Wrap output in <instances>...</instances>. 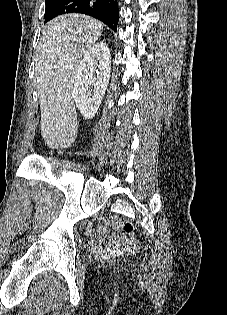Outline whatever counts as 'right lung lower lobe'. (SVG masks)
Instances as JSON below:
<instances>
[{"label":"right lung lower lobe","instance_id":"right-lung-lower-lobe-1","mask_svg":"<svg viewBox=\"0 0 227 315\" xmlns=\"http://www.w3.org/2000/svg\"><path fill=\"white\" fill-rule=\"evenodd\" d=\"M67 13H82L101 20L115 32L119 19L117 0H51L46 4L45 22Z\"/></svg>","mask_w":227,"mask_h":315}]
</instances>
